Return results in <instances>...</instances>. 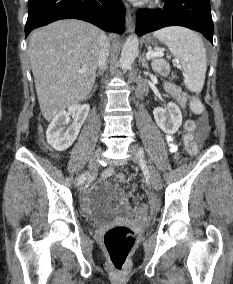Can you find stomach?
I'll use <instances>...</instances> for the list:
<instances>
[{
	"label": "stomach",
	"mask_w": 233,
	"mask_h": 284,
	"mask_svg": "<svg viewBox=\"0 0 233 284\" xmlns=\"http://www.w3.org/2000/svg\"><path fill=\"white\" fill-rule=\"evenodd\" d=\"M152 40H153L152 37H147L148 42H152Z\"/></svg>",
	"instance_id": "obj_1"
}]
</instances>
